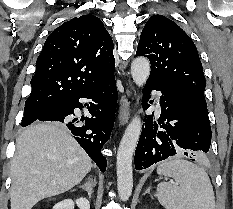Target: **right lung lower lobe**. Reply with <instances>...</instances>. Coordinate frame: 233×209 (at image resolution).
Wrapping results in <instances>:
<instances>
[{"label": "right lung lower lobe", "instance_id": "98d812e1", "mask_svg": "<svg viewBox=\"0 0 233 209\" xmlns=\"http://www.w3.org/2000/svg\"><path fill=\"white\" fill-rule=\"evenodd\" d=\"M117 97L115 76H112L89 90L63 99L35 122L54 121L67 127L100 170L105 172L107 161L101 154V149L109 139L114 125ZM80 98L91 100L87 109L92 117L74 116V109L83 107Z\"/></svg>", "mask_w": 233, "mask_h": 209}]
</instances>
